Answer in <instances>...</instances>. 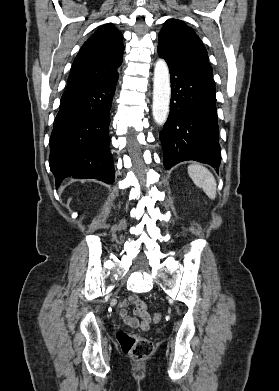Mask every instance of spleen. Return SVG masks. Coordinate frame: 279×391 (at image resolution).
Segmentation results:
<instances>
[{
  "instance_id": "1",
  "label": "spleen",
  "mask_w": 279,
  "mask_h": 391,
  "mask_svg": "<svg viewBox=\"0 0 279 391\" xmlns=\"http://www.w3.org/2000/svg\"><path fill=\"white\" fill-rule=\"evenodd\" d=\"M188 174L197 187L202 188L210 199H215L216 180L207 168L200 164H192L188 166Z\"/></svg>"
}]
</instances>
